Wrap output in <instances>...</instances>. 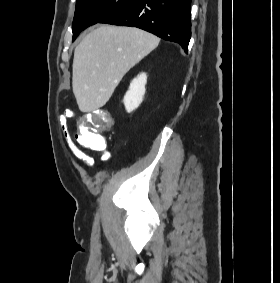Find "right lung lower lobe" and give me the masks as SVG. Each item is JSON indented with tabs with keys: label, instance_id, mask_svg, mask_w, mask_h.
Returning <instances> with one entry per match:
<instances>
[{
	"label": "right lung lower lobe",
	"instance_id": "1",
	"mask_svg": "<svg viewBox=\"0 0 280 283\" xmlns=\"http://www.w3.org/2000/svg\"><path fill=\"white\" fill-rule=\"evenodd\" d=\"M191 0H133L100 23L137 27L178 43L188 52Z\"/></svg>",
	"mask_w": 280,
	"mask_h": 283
}]
</instances>
